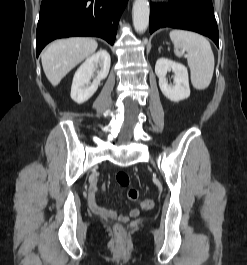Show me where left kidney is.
Returning a JSON list of instances; mask_svg holds the SVG:
<instances>
[{
    "label": "left kidney",
    "mask_w": 247,
    "mask_h": 265,
    "mask_svg": "<svg viewBox=\"0 0 247 265\" xmlns=\"http://www.w3.org/2000/svg\"><path fill=\"white\" fill-rule=\"evenodd\" d=\"M174 72V85L168 84L166 74L168 71ZM155 73L159 78L161 92L169 100L179 102L190 96L188 71L181 63H176L166 58H160L155 65Z\"/></svg>",
    "instance_id": "left-kidney-1"
}]
</instances>
